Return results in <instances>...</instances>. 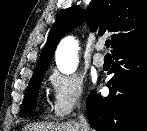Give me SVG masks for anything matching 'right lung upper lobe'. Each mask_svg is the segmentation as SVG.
<instances>
[{"instance_id": "obj_1", "label": "right lung upper lobe", "mask_w": 147, "mask_h": 131, "mask_svg": "<svg viewBox=\"0 0 147 131\" xmlns=\"http://www.w3.org/2000/svg\"><path fill=\"white\" fill-rule=\"evenodd\" d=\"M86 15L93 30L100 35L111 33L113 51L147 33V0H92ZM82 19V11L77 6L60 13L33 75L46 71L60 38L79 25Z\"/></svg>"}]
</instances>
